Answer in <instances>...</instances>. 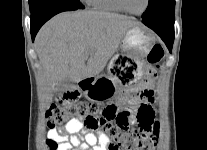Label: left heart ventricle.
I'll list each match as a JSON object with an SVG mask.
<instances>
[{
	"mask_svg": "<svg viewBox=\"0 0 207 150\" xmlns=\"http://www.w3.org/2000/svg\"><path fill=\"white\" fill-rule=\"evenodd\" d=\"M126 7L133 12H140L144 7L146 0H124Z\"/></svg>",
	"mask_w": 207,
	"mask_h": 150,
	"instance_id": "left-heart-ventricle-1",
	"label": "left heart ventricle"
}]
</instances>
